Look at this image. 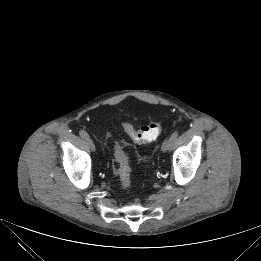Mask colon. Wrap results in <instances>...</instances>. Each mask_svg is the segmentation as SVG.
<instances>
[{
	"instance_id": "obj_1",
	"label": "colon",
	"mask_w": 261,
	"mask_h": 261,
	"mask_svg": "<svg viewBox=\"0 0 261 261\" xmlns=\"http://www.w3.org/2000/svg\"><path fill=\"white\" fill-rule=\"evenodd\" d=\"M122 126L126 134L137 143L155 140L162 129L161 123L153 121L139 129L134 128L133 125L128 122H124ZM113 169L120 181L121 187L125 189L129 188L131 186V167L126 153L119 144L114 147Z\"/></svg>"
}]
</instances>
